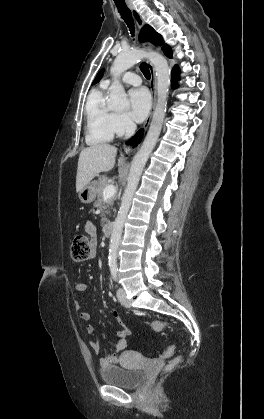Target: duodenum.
Returning a JSON list of instances; mask_svg holds the SVG:
<instances>
[{
    "label": "duodenum",
    "mask_w": 264,
    "mask_h": 419,
    "mask_svg": "<svg viewBox=\"0 0 264 419\" xmlns=\"http://www.w3.org/2000/svg\"><path fill=\"white\" fill-rule=\"evenodd\" d=\"M114 229V223L113 222H107L103 226V234L105 237H109Z\"/></svg>",
    "instance_id": "obj_1"
}]
</instances>
